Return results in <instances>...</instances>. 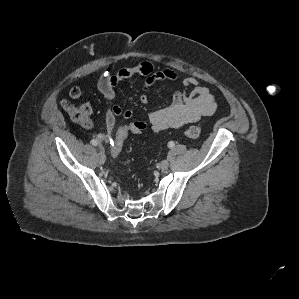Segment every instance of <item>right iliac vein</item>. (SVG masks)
<instances>
[{
	"instance_id": "obj_1",
	"label": "right iliac vein",
	"mask_w": 299,
	"mask_h": 299,
	"mask_svg": "<svg viewBox=\"0 0 299 299\" xmlns=\"http://www.w3.org/2000/svg\"><path fill=\"white\" fill-rule=\"evenodd\" d=\"M100 151L98 153V161L100 164H104L106 161V156L104 152L102 151V147L99 145Z\"/></svg>"
}]
</instances>
